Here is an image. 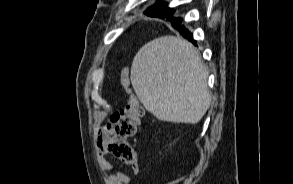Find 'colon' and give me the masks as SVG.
I'll return each instance as SVG.
<instances>
[{
	"label": "colon",
	"mask_w": 293,
	"mask_h": 184,
	"mask_svg": "<svg viewBox=\"0 0 293 184\" xmlns=\"http://www.w3.org/2000/svg\"><path fill=\"white\" fill-rule=\"evenodd\" d=\"M121 84L129 96L125 106L112 115L101 150L105 155L132 165L136 163V154L128 139L135 135L144 109L139 100L131 94L127 68L122 70Z\"/></svg>",
	"instance_id": "5ec220e1"
}]
</instances>
